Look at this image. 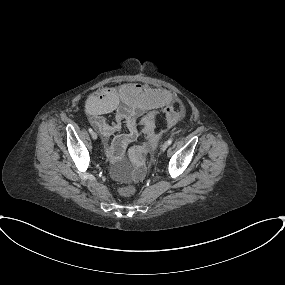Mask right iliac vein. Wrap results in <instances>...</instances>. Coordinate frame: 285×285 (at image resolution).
Returning a JSON list of instances; mask_svg holds the SVG:
<instances>
[{"mask_svg": "<svg viewBox=\"0 0 285 285\" xmlns=\"http://www.w3.org/2000/svg\"><path fill=\"white\" fill-rule=\"evenodd\" d=\"M91 137H92V139L96 140L97 139V133L93 131L91 133Z\"/></svg>", "mask_w": 285, "mask_h": 285, "instance_id": "1", "label": "right iliac vein"}]
</instances>
